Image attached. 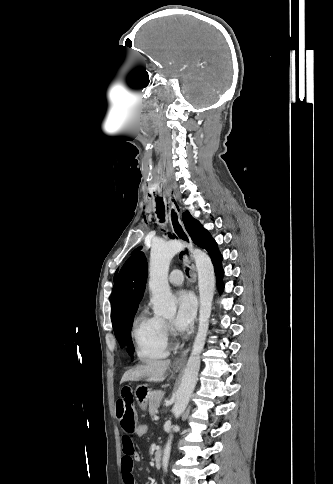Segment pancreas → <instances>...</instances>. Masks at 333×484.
Returning a JSON list of instances; mask_svg holds the SVG:
<instances>
[{
    "label": "pancreas",
    "instance_id": "pancreas-1",
    "mask_svg": "<svg viewBox=\"0 0 333 484\" xmlns=\"http://www.w3.org/2000/svg\"><path fill=\"white\" fill-rule=\"evenodd\" d=\"M162 398V392L161 391H154L150 394L149 399H148V406H149V414L151 417H155L157 413V408L160 406Z\"/></svg>",
    "mask_w": 333,
    "mask_h": 484
}]
</instances>
